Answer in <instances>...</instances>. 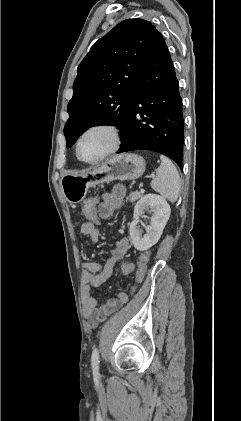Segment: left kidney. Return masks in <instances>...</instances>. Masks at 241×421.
I'll return each mask as SVG.
<instances>
[{
    "label": "left kidney",
    "mask_w": 241,
    "mask_h": 421,
    "mask_svg": "<svg viewBox=\"0 0 241 421\" xmlns=\"http://www.w3.org/2000/svg\"><path fill=\"white\" fill-rule=\"evenodd\" d=\"M145 209H150L152 217L146 234L142 235L139 228V218ZM171 209L166 200L157 194H146L135 205L134 220L130 224L129 233L134 247L145 251L155 245L160 239L163 229L170 217Z\"/></svg>",
    "instance_id": "5707ae66"
}]
</instances>
